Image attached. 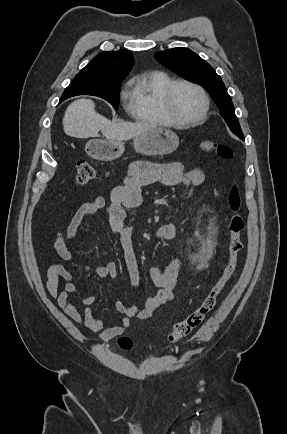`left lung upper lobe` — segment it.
<instances>
[{
	"mask_svg": "<svg viewBox=\"0 0 287 434\" xmlns=\"http://www.w3.org/2000/svg\"><path fill=\"white\" fill-rule=\"evenodd\" d=\"M154 57L179 76L196 82L207 90L230 130L243 139V133L225 85L221 77L205 60L193 51L181 47L157 52Z\"/></svg>",
	"mask_w": 287,
	"mask_h": 434,
	"instance_id": "5c2ea615",
	"label": "left lung upper lobe"
}]
</instances>
